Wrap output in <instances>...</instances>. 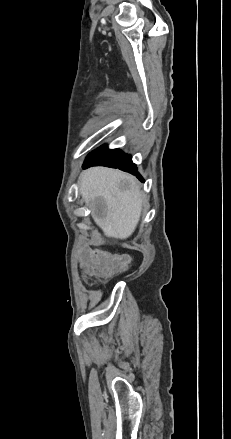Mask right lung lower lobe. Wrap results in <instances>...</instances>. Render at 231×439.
Here are the masks:
<instances>
[{"instance_id": "right-lung-lower-lobe-1", "label": "right lung lower lobe", "mask_w": 231, "mask_h": 439, "mask_svg": "<svg viewBox=\"0 0 231 439\" xmlns=\"http://www.w3.org/2000/svg\"><path fill=\"white\" fill-rule=\"evenodd\" d=\"M98 165L119 168L120 170L136 175L143 180L139 176L136 165L131 160V156L123 153L119 149L110 150L106 145L99 147L87 156L83 168Z\"/></svg>"}]
</instances>
